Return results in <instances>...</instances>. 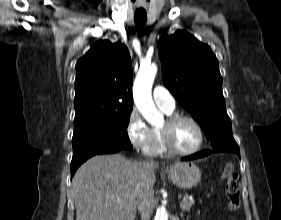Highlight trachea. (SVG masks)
I'll use <instances>...</instances> for the list:
<instances>
[{"label":"trachea","instance_id":"obj_1","mask_svg":"<svg viewBox=\"0 0 281 220\" xmlns=\"http://www.w3.org/2000/svg\"><path fill=\"white\" fill-rule=\"evenodd\" d=\"M135 24L139 29H142L147 20V13L143 9H138L134 14Z\"/></svg>","mask_w":281,"mask_h":220}]
</instances>
